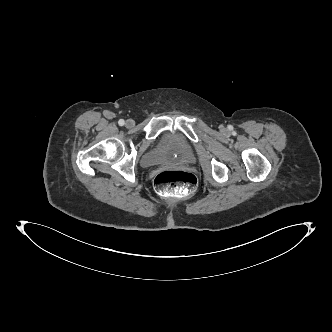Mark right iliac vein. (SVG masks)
<instances>
[{"instance_id":"obj_1","label":"right iliac vein","mask_w":332,"mask_h":332,"mask_svg":"<svg viewBox=\"0 0 332 332\" xmlns=\"http://www.w3.org/2000/svg\"><path fill=\"white\" fill-rule=\"evenodd\" d=\"M134 121L132 120V119H128L127 121H126V123H125V126L127 127V128H132L133 126H134Z\"/></svg>"}]
</instances>
